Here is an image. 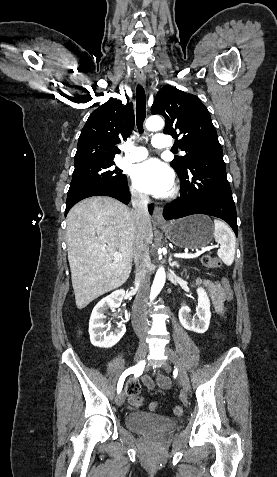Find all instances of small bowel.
<instances>
[{"label":"small bowel","instance_id":"c3829d8e","mask_svg":"<svg viewBox=\"0 0 277 477\" xmlns=\"http://www.w3.org/2000/svg\"><path fill=\"white\" fill-rule=\"evenodd\" d=\"M200 283H202L209 291L217 314L222 315L224 312V303H225V295L223 291V286L218 282H213L210 280H204L203 282L197 281V284H200ZM142 382L149 388H154L155 385H158L161 388H168L170 386V380L167 377H164L162 375H159L155 381L152 380L149 376L143 375ZM130 384L136 385L139 391L140 386L137 382L133 381Z\"/></svg>","mask_w":277,"mask_h":477}]
</instances>
